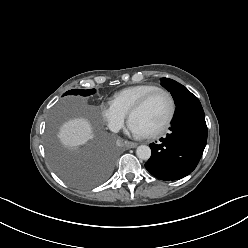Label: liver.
Wrapping results in <instances>:
<instances>
[{"label": "liver", "mask_w": 248, "mask_h": 248, "mask_svg": "<svg viewBox=\"0 0 248 248\" xmlns=\"http://www.w3.org/2000/svg\"><path fill=\"white\" fill-rule=\"evenodd\" d=\"M58 137L65 146L76 148L93 138V129L87 119L74 118L61 126Z\"/></svg>", "instance_id": "6515ba94"}]
</instances>
